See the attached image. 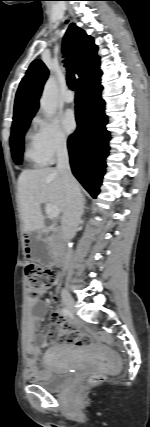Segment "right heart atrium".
Masks as SVG:
<instances>
[{
	"mask_svg": "<svg viewBox=\"0 0 150 427\" xmlns=\"http://www.w3.org/2000/svg\"><path fill=\"white\" fill-rule=\"evenodd\" d=\"M37 138L40 150L47 162L53 161L56 156L67 150L68 138L55 120L38 119Z\"/></svg>",
	"mask_w": 150,
	"mask_h": 427,
	"instance_id": "1",
	"label": "right heart atrium"
}]
</instances>
